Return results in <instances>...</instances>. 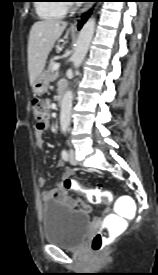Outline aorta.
<instances>
[{
    "label": "aorta",
    "instance_id": "aorta-1",
    "mask_svg": "<svg viewBox=\"0 0 158 275\" xmlns=\"http://www.w3.org/2000/svg\"><path fill=\"white\" fill-rule=\"evenodd\" d=\"M96 20L95 18H90L82 27L78 40L76 43L75 51L72 55V62L75 69H78L82 64L90 42L94 35ZM71 109H72V91H67L64 94V97L61 102V112H60V125L61 130L66 132L69 125H70V116H71Z\"/></svg>",
    "mask_w": 158,
    "mask_h": 275
}]
</instances>
